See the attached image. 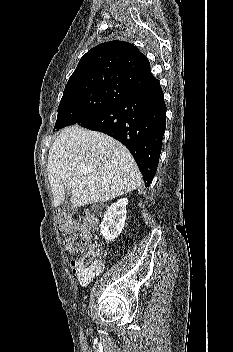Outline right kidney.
<instances>
[{
	"mask_svg": "<svg viewBox=\"0 0 233 352\" xmlns=\"http://www.w3.org/2000/svg\"><path fill=\"white\" fill-rule=\"evenodd\" d=\"M128 204L127 198L119 199L113 203L100 225V233L107 241H111L120 235L124 228L126 220V205Z\"/></svg>",
	"mask_w": 233,
	"mask_h": 352,
	"instance_id": "right-kidney-1",
	"label": "right kidney"
}]
</instances>
